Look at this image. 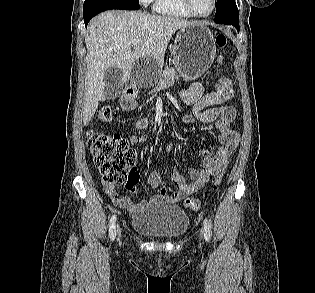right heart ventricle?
Masks as SVG:
<instances>
[{
    "instance_id": "right-heart-ventricle-1",
    "label": "right heart ventricle",
    "mask_w": 315,
    "mask_h": 293,
    "mask_svg": "<svg viewBox=\"0 0 315 293\" xmlns=\"http://www.w3.org/2000/svg\"><path fill=\"white\" fill-rule=\"evenodd\" d=\"M156 12L180 19H189L194 17L186 8L184 0H155Z\"/></svg>"
}]
</instances>
